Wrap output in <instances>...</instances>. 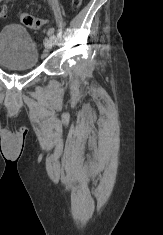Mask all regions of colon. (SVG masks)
Masks as SVG:
<instances>
[{"mask_svg": "<svg viewBox=\"0 0 163 235\" xmlns=\"http://www.w3.org/2000/svg\"><path fill=\"white\" fill-rule=\"evenodd\" d=\"M82 0H71V5L74 9H77L81 6ZM7 9L5 7L0 8V18L6 17ZM21 23L28 27L33 29H38L44 26L45 20L39 19L31 14L28 13H21L19 15Z\"/></svg>", "mask_w": 163, "mask_h": 235, "instance_id": "1", "label": "colon"}]
</instances>
